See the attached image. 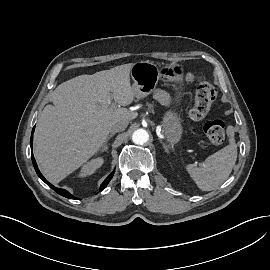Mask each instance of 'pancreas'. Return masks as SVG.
Wrapping results in <instances>:
<instances>
[{"mask_svg":"<svg viewBox=\"0 0 270 270\" xmlns=\"http://www.w3.org/2000/svg\"><path fill=\"white\" fill-rule=\"evenodd\" d=\"M149 109L153 110L154 106L153 104H148Z\"/></svg>","mask_w":270,"mask_h":270,"instance_id":"1","label":"pancreas"}]
</instances>
